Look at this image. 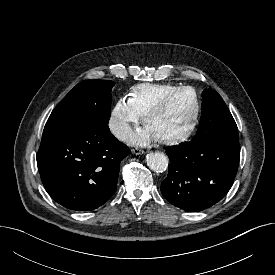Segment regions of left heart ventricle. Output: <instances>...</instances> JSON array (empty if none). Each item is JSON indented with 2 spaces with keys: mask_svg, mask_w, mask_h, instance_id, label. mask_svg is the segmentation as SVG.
Wrapping results in <instances>:
<instances>
[{
  "mask_svg": "<svg viewBox=\"0 0 275 275\" xmlns=\"http://www.w3.org/2000/svg\"><path fill=\"white\" fill-rule=\"evenodd\" d=\"M194 95L190 91L175 95L147 126L157 139L172 137L183 132L189 125L194 113Z\"/></svg>",
  "mask_w": 275,
  "mask_h": 275,
  "instance_id": "1",
  "label": "left heart ventricle"
}]
</instances>
